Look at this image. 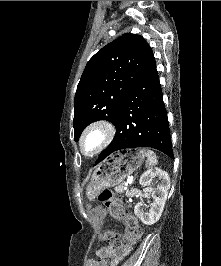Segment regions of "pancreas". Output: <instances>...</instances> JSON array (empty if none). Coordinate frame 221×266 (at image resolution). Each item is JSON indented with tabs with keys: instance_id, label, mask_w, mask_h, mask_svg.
<instances>
[{
	"instance_id": "obj_1",
	"label": "pancreas",
	"mask_w": 221,
	"mask_h": 266,
	"mask_svg": "<svg viewBox=\"0 0 221 266\" xmlns=\"http://www.w3.org/2000/svg\"><path fill=\"white\" fill-rule=\"evenodd\" d=\"M126 188V186H125V184L124 183H122V184H120V185H117L115 188H114V190H115V192L116 193H124V192H127V189H125Z\"/></svg>"
}]
</instances>
